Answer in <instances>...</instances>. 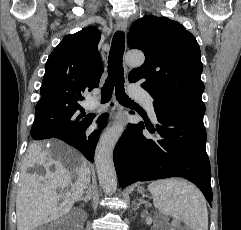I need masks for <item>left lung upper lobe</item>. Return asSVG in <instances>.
<instances>
[{"label": "left lung upper lobe", "instance_id": "5c2ea615", "mask_svg": "<svg viewBox=\"0 0 241 230\" xmlns=\"http://www.w3.org/2000/svg\"><path fill=\"white\" fill-rule=\"evenodd\" d=\"M128 46L145 54L129 73L131 83L140 81L154 104L204 116L201 52L190 32L167 17L144 16L132 24Z\"/></svg>", "mask_w": 241, "mask_h": 230}]
</instances>
